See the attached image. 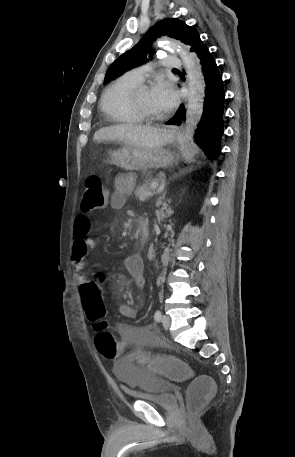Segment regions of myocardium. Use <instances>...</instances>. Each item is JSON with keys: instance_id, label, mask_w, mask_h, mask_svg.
Here are the masks:
<instances>
[{"instance_id": "myocardium-1", "label": "myocardium", "mask_w": 295, "mask_h": 457, "mask_svg": "<svg viewBox=\"0 0 295 457\" xmlns=\"http://www.w3.org/2000/svg\"><path fill=\"white\" fill-rule=\"evenodd\" d=\"M149 86L147 84H138L136 87L132 89L129 95V102L133 112L144 121H158L163 118L162 114H151L147 112L139 102V93L144 90L148 89Z\"/></svg>"}]
</instances>
